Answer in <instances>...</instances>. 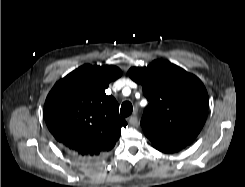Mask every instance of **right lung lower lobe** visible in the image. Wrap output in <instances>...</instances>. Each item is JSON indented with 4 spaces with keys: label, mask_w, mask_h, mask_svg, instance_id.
<instances>
[{
    "label": "right lung lower lobe",
    "mask_w": 245,
    "mask_h": 187,
    "mask_svg": "<svg viewBox=\"0 0 245 187\" xmlns=\"http://www.w3.org/2000/svg\"><path fill=\"white\" fill-rule=\"evenodd\" d=\"M65 148V147H64ZM66 149V148H65ZM69 153H71L72 155H74L75 157H77V158H80V159H89V158H87V157H82V156H79L78 154H76V153H73L72 151H70V150H68V149H66Z\"/></svg>",
    "instance_id": "1"
}]
</instances>
